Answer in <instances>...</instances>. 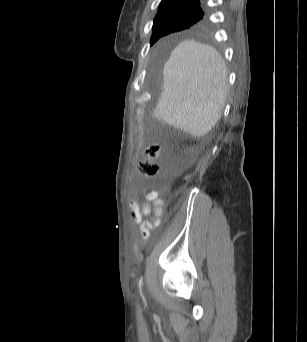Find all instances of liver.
<instances>
[{
	"label": "liver",
	"mask_w": 307,
	"mask_h": 342,
	"mask_svg": "<svg viewBox=\"0 0 307 342\" xmlns=\"http://www.w3.org/2000/svg\"><path fill=\"white\" fill-rule=\"evenodd\" d=\"M227 90V68L219 52L184 40L164 64L155 118L193 138H202L220 120Z\"/></svg>",
	"instance_id": "obj_1"
}]
</instances>
